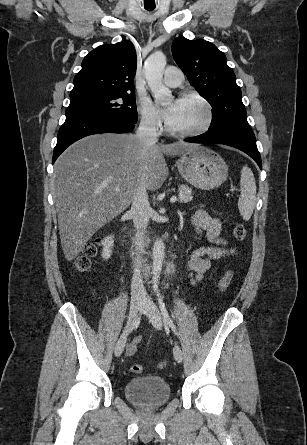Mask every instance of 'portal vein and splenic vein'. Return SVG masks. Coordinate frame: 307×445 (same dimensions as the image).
I'll list each match as a JSON object with an SVG mask.
<instances>
[{
	"mask_svg": "<svg viewBox=\"0 0 307 445\" xmlns=\"http://www.w3.org/2000/svg\"><path fill=\"white\" fill-rule=\"evenodd\" d=\"M115 190H119V186H116ZM177 198L176 196H171L170 202H176Z\"/></svg>",
	"mask_w": 307,
	"mask_h": 445,
	"instance_id": "18ae733b",
	"label": "portal vein and splenic vein"
}]
</instances>
